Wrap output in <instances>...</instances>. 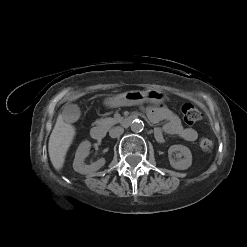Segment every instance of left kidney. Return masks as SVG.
<instances>
[{
	"mask_svg": "<svg viewBox=\"0 0 247 247\" xmlns=\"http://www.w3.org/2000/svg\"><path fill=\"white\" fill-rule=\"evenodd\" d=\"M174 152H179L176 157L179 158L175 160L172 158ZM170 165L177 170H186L192 165V154L188 147L183 145H172L168 150ZM183 158L181 159V157Z\"/></svg>",
	"mask_w": 247,
	"mask_h": 247,
	"instance_id": "obj_1",
	"label": "left kidney"
}]
</instances>
